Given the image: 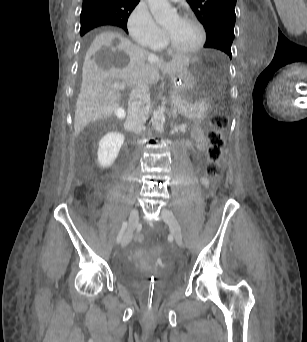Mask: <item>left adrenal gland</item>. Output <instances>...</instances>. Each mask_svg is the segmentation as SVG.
Listing matches in <instances>:
<instances>
[{"label": "left adrenal gland", "mask_w": 307, "mask_h": 342, "mask_svg": "<svg viewBox=\"0 0 307 342\" xmlns=\"http://www.w3.org/2000/svg\"><path fill=\"white\" fill-rule=\"evenodd\" d=\"M171 110H172L173 118H177V110H175V108H173V106H172Z\"/></svg>", "instance_id": "obj_1"}]
</instances>
